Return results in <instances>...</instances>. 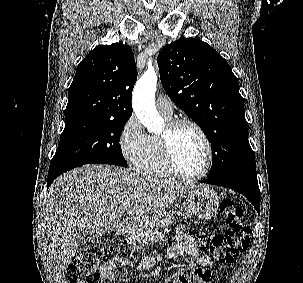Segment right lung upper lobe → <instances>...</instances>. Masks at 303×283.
<instances>
[{
  "label": "right lung upper lobe",
  "mask_w": 303,
  "mask_h": 283,
  "mask_svg": "<svg viewBox=\"0 0 303 283\" xmlns=\"http://www.w3.org/2000/svg\"><path fill=\"white\" fill-rule=\"evenodd\" d=\"M136 79L134 54L128 45L95 47L77 66L68 91L65 118L89 115L129 119Z\"/></svg>",
  "instance_id": "cb5924a9"
}]
</instances>
